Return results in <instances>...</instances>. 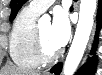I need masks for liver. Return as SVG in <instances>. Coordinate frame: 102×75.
<instances>
[{
	"label": "liver",
	"mask_w": 102,
	"mask_h": 75,
	"mask_svg": "<svg viewBox=\"0 0 102 75\" xmlns=\"http://www.w3.org/2000/svg\"><path fill=\"white\" fill-rule=\"evenodd\" d=\"M0 75H41L38 71H26L16 66H7L0 71Z\"/></svg>",
	"instance_id": "1"
}]
</instances>
